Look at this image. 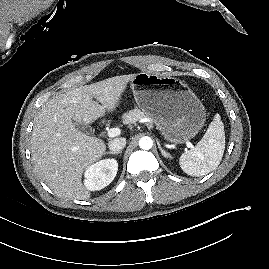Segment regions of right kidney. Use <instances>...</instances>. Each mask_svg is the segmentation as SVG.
<instances>
[{"mask_svg":"<svg viewBox=\"0 0 269 269\" xmlns=\"http://www.w3.org/2000/svg\"><path fill=\"white\" fill-rule=\"evenodd\" d=\"M118 163L115 159H104L90 165L85 173V186L90 191L101 190L115 178Z\"/></svg>","mask_w":269,"mask_h":269,"instance_id":"obj_1","label":"right kidney"}]
</instances>
